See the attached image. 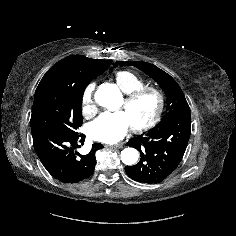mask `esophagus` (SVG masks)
I'll return each instance as SVG.
<instances>
[{
    "mask_svg": "<svg viewBox=\"0 0 236 236\" xmlns=\"http://www.w3.org/2000/svg\"><path fill=\"white\" fill-rule=\"evenodd\" d=\"M107 147H111V148H122V147H123V144L108 145Z\"/></svg>",
    "mask_w": 236,
    "mask_h": 236,
    "instance_id": "esophagus-1",
    "label": "esophagus"
}]
</instances>
